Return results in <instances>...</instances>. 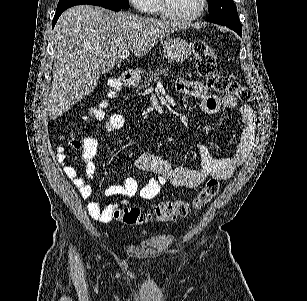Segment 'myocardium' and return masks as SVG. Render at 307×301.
I'll return each mask as SVG.
<instances>
[{
  "instance_id": "myocardium-1",
  "label": "myocardium",
  "mask_w": 307,
  "mask_h": 301,
  "mask_svg": "<svg viewBox=\"0 0 307 301\" xmlns=\"http://www.w3.org/2000/svg\"><path fill=\"white\" fill-rule=\"evenodd\" d=\"M160 1L162 5L158 6L156 17H164L165 22H195V18L202 16L206 4V0H199L197 11H170V2Z\"/></svg>"
}]
</instances>
